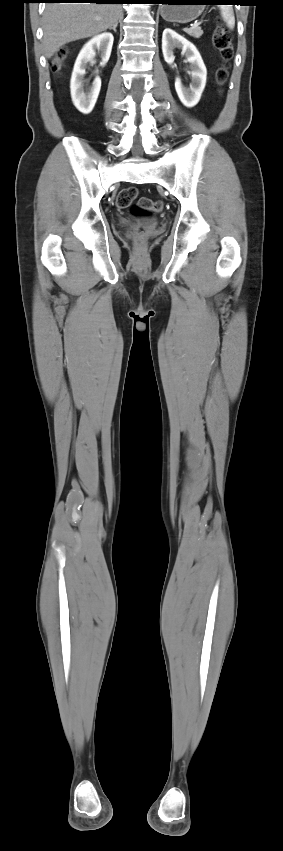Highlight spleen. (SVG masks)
Masks as SVG:
<instances>
[{
    "label": "spleen",
    "mask_w": 283,
    "mask_h": 851,
    "mask_svg": "<svg viewBox=\"0 0 283 851\" xmlns=\"http://www.w3.org/2000/svg\"><path fill=\"white\" fill-rule=\"evenodd\" d=\"M220 11L223 20L226 22L227 26L230 29H233L235 26V16L232 6H221Z\"/></svg>",
    "instance_id": "3e777b00"
}]
</instances>
